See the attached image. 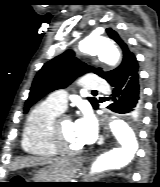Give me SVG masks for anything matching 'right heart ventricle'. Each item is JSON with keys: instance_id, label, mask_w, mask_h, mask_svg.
I'll use <instances>...</instances> for the list:
<instances>
[{"instance_id": "right-heart-ventricle-1", "label": "right heart ventricle", "mask_w": 160, "mask_h": 187, "mask_svg": "<svg viewBox=\"0 0 160 187\" xmlns=\"http://www.w3.org/2000/svg\"><path fill=\"white\" fill-rule=\"evenodd\" d=\"M62 110L47 100L37 104L28 114L24 124L21 146L25 153L37 157L58 155L51 139V126Z\"/></svg>"}]
</instances>
